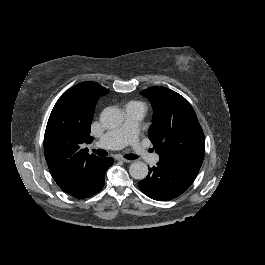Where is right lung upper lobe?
Returning a JSON list of instances; mask_svg holds the SVG:
<instances>
[{"label": "right lung upper lobe", "instance_id": "1", "mask_svg": "<svg viewBox=\"0 0 265 265\" xmlns=\"http://www.w3.org/2000/svg\"><path fill=\"white\" fill-rule=\"evenodd\" d=\"M108 90L95 82H83L66 91L55 104L45 131L44 153L57 185L70 192L93 182L102 161L81 144L90 143V126L97 100Z\"/></svg>", "mask_w": 265, "mask_h": 265}]
</instances>
